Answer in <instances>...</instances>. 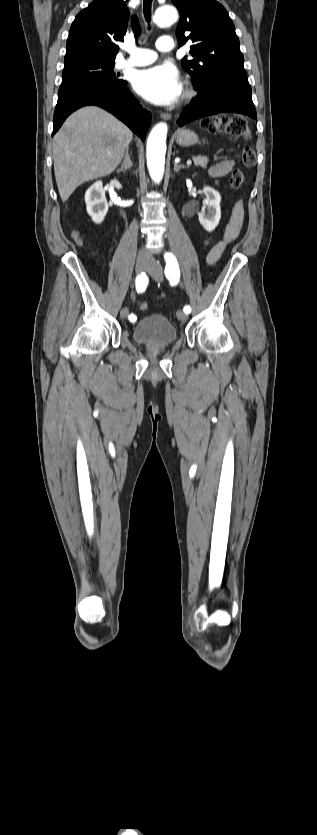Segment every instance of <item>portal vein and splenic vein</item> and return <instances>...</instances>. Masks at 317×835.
Masks as SVG:
<instances>
[{
  "mask_svg": "<svg viewBox=\"0 0 317 835\" xmlns=\"http://www.w3.org/2000/svg\"><path fill=\"white\" fill-rule=\"evenodd\" d=\"M187 163H188V164H190V163H191V160H189Z\"/></svg>",
  "mask_w": 317,
  "mask_h": 835,
  "instance_id": "portal-vein-and-splenic-vein-1",
  "label": "portal vein and splenic vein"
}]
</instances>
